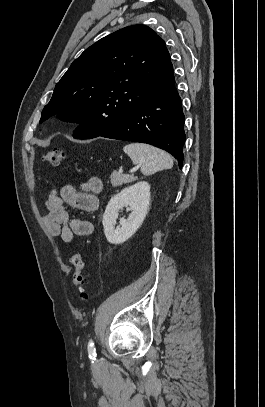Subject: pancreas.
<instances>
[{
    "instance_id": "1",
    "label": "pancreas",
    "mask_w": 265,
    "mask_h": 407,
    "mask_svg": "<svg viewBox=\"0 0 265 407\" xmlns=\"http://www.w3.org/2000/svg\"><path fill=\"white\" fill-rule=\"evenodd\" d=\"M111 184L113 187H119L123 184L131 183L133 181L138 180V177L133 175H126L117 172H113L110 176Z\"/></svg>"
}]
</instances>
